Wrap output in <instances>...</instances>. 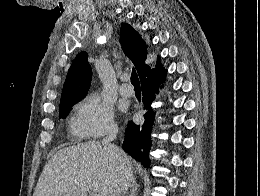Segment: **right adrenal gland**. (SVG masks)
Listing matches in <instances>:
<instances>
[{
	"label": "right adrenal gland",
	"mask_w": 260,
	"mask_h": 196,
	"mask_svg": "<svg viewBox=\"0 0 260 196\" xmlns=\"http://www.w3.org/2000/svg\"><path fill=\"white\" fill-rule=\"evenodd\" d=\"M130 188H132V190H130V194H127V196H137V194L134 190V186H130Z\"/></svg>",
	"instance_id": "right-adrenal-gland-1"
}]
</instances>
